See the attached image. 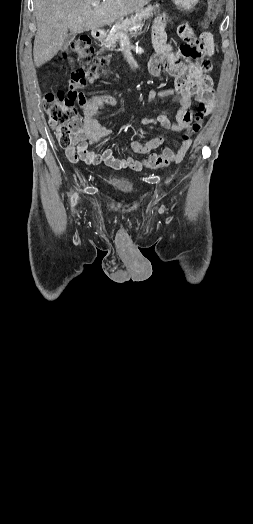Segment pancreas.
I'll return each instance as SVG.
<instances>
[{
    "mask_svg": "<svg viewBox=\"0 0 253 524\" xmlns=\"http://www.w3.org/2000/svg\"><path fill=\"white\" fill-rule=\"evenodd\" d=\"M153 15H157L159 18H166L167 14L165 12L160 13L159 4L148 5L137 11L130 18L117 22L115 27L109 31L101 41L102 50L115 47L116 42L119 41L122 36H127L128 28L140 24L142 20H147L153 17Z\"/></svg>",
    "mask_w": 253,
    "mask_h": 524,
    "instance_id": "obj_1",
    "label": "pancreas"
}]
</instances>
